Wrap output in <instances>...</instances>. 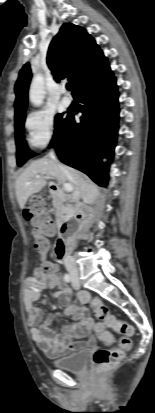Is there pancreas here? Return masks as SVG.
<instances>
[{"instance_id": "pancreas-1", "label": "pancreas", "mask_w": 155, "mask_h": 413, "mask_svg": "<svg viewBox=\"0 0 155 413\" xmlns=\"http://www.w3.org/2000/svg\"><path fill=\"white\" fill-rule=\"evenodd\" d=\"M52 196V203L56 215L57 222H61L65 217L70 216L71 210L70 207L64 203L62 191L59 190L57 192H53Z\"/></svg>"}]
</instances>
